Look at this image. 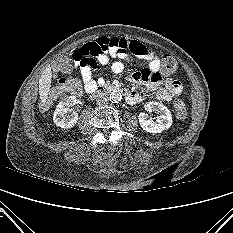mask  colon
<instances>
[{
  "label": "colon",
  "mask_w": 233,
  "mask_h": 233,
  "mask_svg": "<svg viewBox=\"0 0 233 233\" xmlns=\"http://www.w3.org/2000/svg\"><path fill=\"white\" fill-rule=\"evenodd\" d=\"M67 58L62 57L57 62V67L60 70L66 69ZM178 71V64L175 58L171 55L164 54L161 56V73L163 75H171ZM81 91V83L75 78H61L58 81L56 88L52 91L50 98L58 97L64 93L73 95L79 94ZM174 111L176 117L180 120H184L188 116L187 107L183 100L177 98L173 102Z\"/></svg>",
  "instance_id": "5ec220e1"
}]
</instances>
